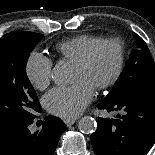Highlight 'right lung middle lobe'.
I'll return each mask as SVG.
<instances>
[{"mask_svg":"<svg viewBox=\"0 0 155 155\" xmlns=\"http://www.w3.org/2000/svg\"><path fill=\"white\" fill-rule=\"evenodd\" d=\"M42 34L14 31L0 38V127L32 121L41 107L26 75V62Z\"/></svg>","mask_w":155,"mask_h":155,"instance_id":"obj_1","label":"right lung middle lobe"}]
</instances>
